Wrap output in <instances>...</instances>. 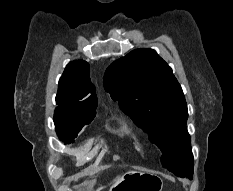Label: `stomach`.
I'll return each instance as SVG.
<instances>
[{"instance_id":"1","label":"stomach","mask_w":233,"mask_h":191,"mask_svg":"<svg viewBox=\"0 0 233 191\" xmlns=\"http://www.w3.org/2000/svg\"><path fill=\"white\" fill-rule=\"evenodd\" d=\"M162 179L152 173L130 170L123 174L109 191H162Z\"/></svg>"}]
</instances>
